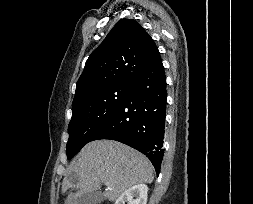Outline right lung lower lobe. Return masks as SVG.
<instances>
[{"instance_id":"1","label":"right lung lower lobe","mask_w":253,"mask_h":204,"mask_svg":"<svg viewBox=\"0 0 253 204\" xmlns=\"http://www.w3.org/2000/svg\"><path fill=\"white\" fill-rule=\"evenodd\" d=\"M166 76L158 54L130 84L129 91L93 140L111 139L145 154L157 174L164 154Z\"/></svg>"}]
</instances>
